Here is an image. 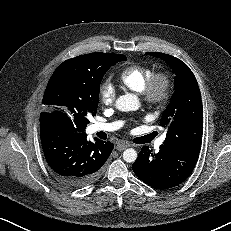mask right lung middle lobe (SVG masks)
I'll return each instance as SVG.
<instances>
[{"mask_svg": "<svg viewBox=\"0 0 231 231\" xmlns=\"http://www.w3.org/2000/svg\"><path fill=\"white\" fill-rule=\"evenodd\" d=\"M124 60L121 54L98 52L64 61L47 84L44 109L71 130L84 132L89 123L87 116L96 115L104 74Z\"/></svg>", "mask_w": 231, "mask_h": 231, "instance_id": "1", "label": "right lung middle lobe"}]
</instances>
